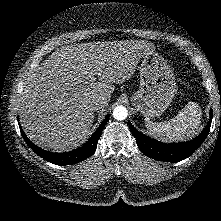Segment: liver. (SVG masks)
Wrapping results in <instances>:
<instances>
[{"mask_svg":"<svg viewBox=\"0 0 221 221\" xmlns=\"http://www.w3.org/2000/svg\"><path fill=\"white\" fill-rule=\"evenodd\" d=\"M154 51V45L144 40L60 47L24 81L20 103L24 132L44 149L77 147L92 127L93 103L102 99L107 106L114 84L131 78L139 59Z\"/></svg>","mask_w":221,"mask_h":221,"instance_id":"1","label":"liver"}]
</instances>
